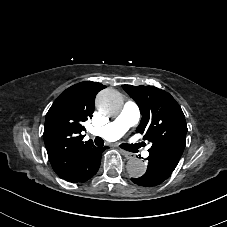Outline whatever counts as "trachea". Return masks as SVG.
Masks as SVG:
<instances>
[{
    "mask_svg": "<svg viewBox=\"0 0 227 227\" xmlns=\"http://www.w3.org/2000/svg\"><path fill=\"white\" fill-rule=\"evenodd\" d=\"M94 142L97 146H103L104 145V140L100 137H96ZM121 148L128 150V151H131V145H128V144H122Z\"/></svg>",
    "mask_w": 227,
    "mask_h": 227,
    "instance_id": "3493384b",
    "label": "trachea"
}]
</instances>
